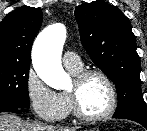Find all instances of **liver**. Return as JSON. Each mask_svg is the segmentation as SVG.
<instances>
[{"mask_svg": "<svg viewBox=\"0 0 147 131\" xmlns=\"http://www.w3.org/2000/svg\"><path fill=\"white\" fill-rule=\"evenodd\" d=\"M78 127H55L40 122L23 121L14 114L0 113V131H77Z\"/></svg>", "mask_w": 147, "mask_h": 131, "instance_id": "liver-1", "label": "liver"}]
</instances>
